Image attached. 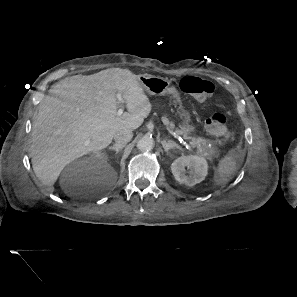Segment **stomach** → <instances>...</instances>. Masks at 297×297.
<instances>
[{"label":"stomach","instance_id":"obj_1","mask_svg":"<svg viewBox=\"0 0 297 297\" xmlns=\"http://www.w3.org/2000/svg\"><path fill=\"white\" fill-rule=\"evenodd\" d=\"M139 82L150 95L160 96L172 94L178 98L176 88L171 86V82L165 78L144 74L139 77ZM178 115L182 118V124L180 125L181 134L190 136L194 131V126L191 123L189 112L183 109V107H180Z\"/></svg>","mask_w":297,"mask_h":297}]
</instances>
